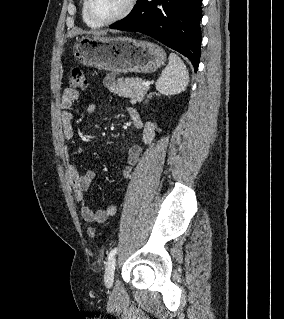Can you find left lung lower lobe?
<instances>
[{
  "label": "left lung lower lobe",
  "instance_id": "0a47b994",
  "mask_svg": "<svg viewBox=\"0 0 284 319\" xmlns=\"http://www.w3.org/2000/svg\"><path fill=\"white\" fill-rule=\"evenodd\" d=\"M202 0H138L111 29L137 31L186 56L197 71L201 56Z\"/></svg>",
  "mask_w": 284,
  "mask_h": 319
}]
</instances>
